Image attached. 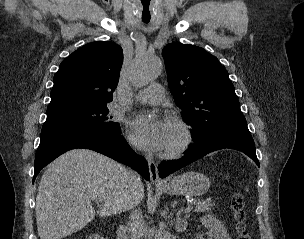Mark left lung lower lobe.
I'll return each mask as SVG.
<instances>
[{
    "label": "left lung lower lobe",
    "mask_w": 304,
    "mask_h": 239,
    "mask_svg": "<svg viewBox=\"0 0 304 239\" xmlns=\"http://www.w3.org/2000/svg\"><path fill=\"white\" fill-rule=\"evenodd\" d=\"M225 148L235 149L245 153L260 166L256 156L255 144L250 134H224L200 144H195V146L179 160L162 162L159 165V176L164 178L210 152Z\"/></svg>",
    "instance_id": "0a47b994"
}]
</instances>
